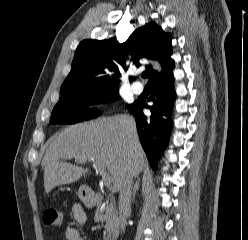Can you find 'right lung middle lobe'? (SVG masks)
Listing matches in <instances>:
<instances>
[{
    "label": "right lung middle lobe",
    "instance_id": "1",
    "mask_svg": "<svg viewBox=\"0 0 248 240\" xmlns=\"http://www.w3.org/2000/svg\"><path fill=\"white\" fill-rule=\"evenodd\" d=\"M118 99V89L95 88L66 89L60 92V100L54 107L50 124H74L96 118L101 113L91 109L96 103H108Z\"/></svg>",
    "mask_w": 248,
    "mask_h": 240
}]
</instances>
